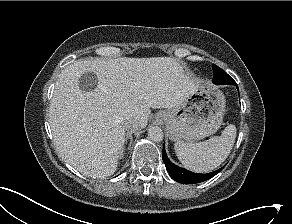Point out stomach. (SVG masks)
<instances>
[{
  "mask_svg": "<svg viewBox=\"0 0 292 224\" xmlns=\"http://www.w3.org/2000/svg\"><path fill=\"white\" fill-rule=\"evenodd\" d=\"M226 107L222 91L209 81H200L197 90L177 108L160 111L157 122L166 126L174 142H194L208 137L220 128Z\"/></svg>",
  "mask_w": 292,
  "mask_h": 224,
  "instance_id": "1",
  "label": "stomach"
}]
</instances>
